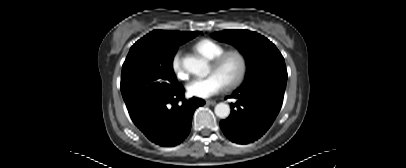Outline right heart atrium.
<instances>
[{
    "label": "right heart atrium",
    "mask_w": 406,
    "mask_h": 168,
    "mask_svg": "<svg viewBox=\"0 0 406 168\" xmlns=\"http://www.w3.org/2000/svg\"><path fill=\"white\" fill-rule=\"evenodd\" d=\"M171 68L179 79L184 80L187 78V71L183 62L182 50H177L172 56Z\"/></svg>",
    "instance_id": "obj_1"
}]
</instances>
